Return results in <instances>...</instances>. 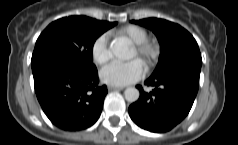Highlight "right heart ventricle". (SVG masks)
Masks as SVG:
<instances>
[{
	"label": "right heart ventricle",
	"instance_id": "right-heart-ventricle-1",
	"mask_svg": "<svg viewBox=\"0 0 238 145\" xmlns=\"http://www.w3.org/2000/svg\"><path fill=\"white\" fill-rule=\"evenodd\" d=\"M117 35L128 40L131 44L134 45L143 42L147 38L146 31L143 28L135 25H129L120 29L117 32Z\"/></svg>",
	"mask_w": 238,
	"mask_h": 145
}]
</instances>
